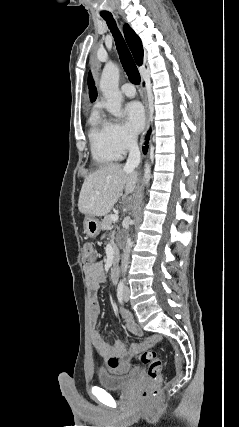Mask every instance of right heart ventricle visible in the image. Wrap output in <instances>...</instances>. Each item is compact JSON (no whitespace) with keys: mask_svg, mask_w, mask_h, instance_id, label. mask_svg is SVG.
I'll list each match as a JSON object with an SVG mask.
<instances>
[{"mask_svg":"<svg viewBox=\"0 0 239 427\" xmlns=\"http://www.w3.org/2000/svg\"><path fill=\"white\" fill-rule=\"evenodd\" d=\"M89 140L91 154L98 164H108L121 156L112 147L106 129V122L95 112L90 118Z\"/></svg>","mask_w":239,"mask_h":427,"instance_id":"obj_1","label":"right heart ventricle"}]
</instances>
